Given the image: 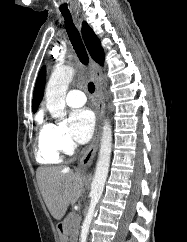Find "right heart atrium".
Here are the masks:
<instances>
[{
    "label": "right heart atrium",
    "instance_id": "obj_1",
    "mask_svg": "<svg viewBox=\"0 0 187 242\" xmlns=\"http://www.w3.org/2000/svg\"><path fill=\"white\" fill-rule=\"evenodd\" d=\"M48 135L52 145L60 152L70 153L74 148V142L69 136L64 124L49 123Z\"/></svg>",
    "mask_w": 187,
    "mask_h": 242
}]
</instances>
